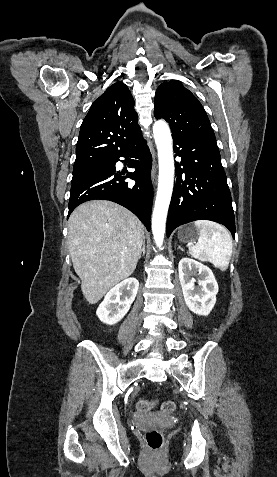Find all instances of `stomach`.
<instances>
[{"label":"stomach","instance_id":"stomach-1","mask_svg":"<svg viewBox=\"0 0 277 477\" xmlns=\"http://www.w3.org/2000/svg\"><path fill=\"white\" fill-rule=\"evenodd\" d=\"M198 234V229L190 224L179 229L178 239L184 243H193L197 239Z\"/></svg>","mask_w":277,"mask_h":477}]
</instances>
